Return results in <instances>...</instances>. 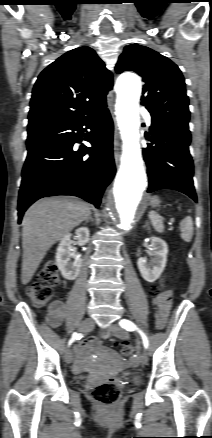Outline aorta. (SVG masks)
I'll return each instance as SVG.
<instances>
[{"label": "aorta", "instance_id": "762f6f07", "mask_svg": "<svg viewBox=\"0 0 212 438\" xmlns=\"http://www.w3.org/2000/svg\"><path fill=\"white\" fill-rule=\"evenodd\" d=\"M116 91V116L123 140V154L114 183L112 209L120 228L127 230L136 219L146 187L139 144L141 80L135 74H124L117 81Z\"/></svg>", "mask_w": 212, "mask_h": 438}]
</instances>
